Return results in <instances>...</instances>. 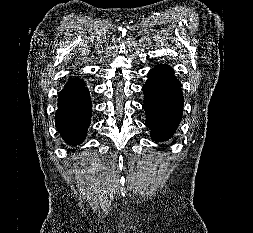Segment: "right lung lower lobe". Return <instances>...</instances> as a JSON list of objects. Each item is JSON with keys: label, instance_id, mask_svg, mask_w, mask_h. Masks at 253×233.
Instances as JSON below:
<instances>
[{"label": "right lung lower lobe", "instance_id": "98d812e1", "mask_svg": "<svg viewBox=\"0 0 253 233\" xmlns=\"http://www.w3.org/2000/svg\"><path fill=\"white\" fill-rule=\"evenodd\" d=\"M91 100L83 80L70 79L58 97L56 127L70 145L81 143L91 121Z\"/></svg>", "mask_w": 253, "mask_h": 233}]
</instances>
